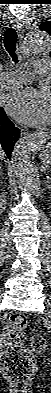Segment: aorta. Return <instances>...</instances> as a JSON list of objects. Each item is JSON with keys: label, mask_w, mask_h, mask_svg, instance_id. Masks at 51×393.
<instances>
[{"label": "aorta", "mask_w": 51, "mask_h": 393, "mask_svg": "<svg viewBox=\"0 0 51 393\" xmlns=\"http://www.w3.org/2000/svg\"><path fill=\"white\" fill-rule=\"evenodd\" d=\"M51 49L49 35L42 30L28 33L22 42L25 55H43ZM47 141L46 132H39L19 140L12 153V166L19 187L26 191H34L35 177L31 161L32 152Z\"/></svg>", "instance_id": "762f6f07"}]
</instances>
